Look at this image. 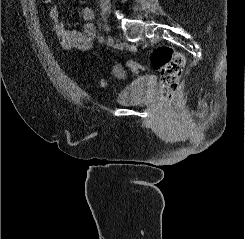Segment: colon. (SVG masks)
I'll list each match as a JSON object with an SVG mask.
<instances>
[{"mask_svg": "<svg viewBox=\"0 0 245 239\" xmlns=\"http://www.w3.org/2000/svg\"><path fill=\"white\" fill-rule=\"evenodd\" d=\"M41 1L44 4H49L53 0ZM151 61L153 69L160 73V96L165 102L170 103L184 70L185 57L169 45H159L153 51ZM113 73L118 79L124 77V71L120 65L114 67ZM100 85L105 86L106 81L102 80Z\"/></svg>", "mask_w": 245, "mask_h": 239, "instance_id": "obj_1", "label": "colon"}]
</instances>
